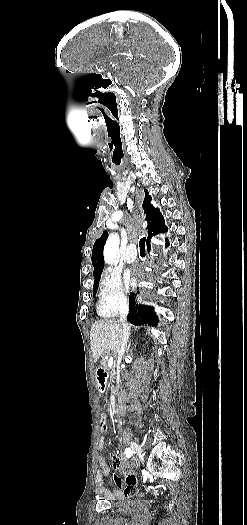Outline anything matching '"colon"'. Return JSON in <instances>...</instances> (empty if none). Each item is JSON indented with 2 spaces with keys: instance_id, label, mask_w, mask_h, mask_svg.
I'll return each instance as SVG.
<instances>
[{
  "instance_id": "1",
  "label": "colon",
  "mask_w": 247,
  "mask_h": 525,
  "mask_svg": "<svg viewBox=\"0 0 247 525\" xmlns=\"http://www.w3.org/2000/svg\"><path fill=\"white\" fill-rule=\"evenodd\" d=\"M97 424H98L99 427L102 428V430L104 432H107L109 430V427H108L109 421H108L107 418H105V417L99 418L98 421H97Z\"/></svg>"
}]
</instances>
